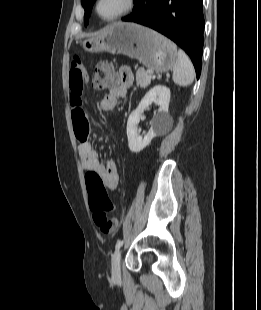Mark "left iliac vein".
<instances>
[{
  "instance_id": "left-iliac-vein-1",
  "label": "left iliac vein",
  "mask_w": 261,
  "mask_h": 310,
  "mask_svg": "<svg viewBox=\"0 0 261 310\" xmlns=\"http://www.w3.org/2000/svg\"><path fill=\"white\" fill-rule=\"evenodd\" d=\"M120 260H121V251L120 249H116L112 256V278L114 280H119L121 277V271H120Z\"/></svg>"
}]
</instances>
